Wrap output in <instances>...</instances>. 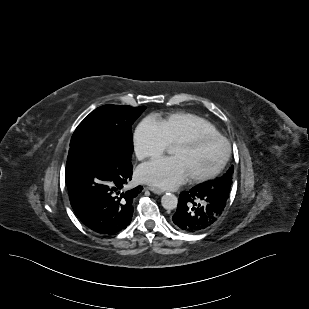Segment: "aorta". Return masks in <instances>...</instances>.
<instances>
[{
  "label": "aorta",
  "instance_id": "1",
  "mask_svg": "<svg viewBox=\"0 0 309 309\" xmlns=\"http://www.w3.org/2000/svg\"><path fill=\"white\" fill-rule=\"evenodd\" d=\"M161 204H162L163 208H165L167 210H173L177 207L178 199L174 194L167 193V194L162 196Z\"/></svg>",
  "mask_w": 309,
  "mask_h": 309
}]
</instances>
